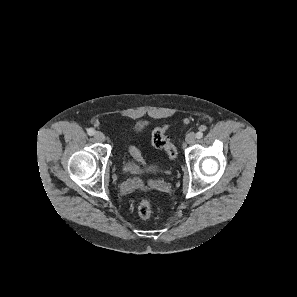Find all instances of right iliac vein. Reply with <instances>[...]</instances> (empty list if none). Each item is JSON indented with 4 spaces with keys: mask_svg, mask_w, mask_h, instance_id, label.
I'll list each match as a JSON object with an SVG mask.
<instances>
[{
    "mask_svg": "<svg viewBox=\"0 0 297 297\" xmlns=\"http://www.w3.org/2000/svg\"><path fill=\"white\" fill-rule=\"evenodd\" d=\"M94 138L98 141V142H104L105 141V135L100 132V131H97L95 132L94 134Z\"/></svg>",
    "mask_w": 297,
    "mask_h": 297,
    "instance_id": "obj_1",
    "label": "right iliac vein"
}]
</instances>
